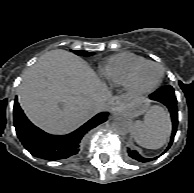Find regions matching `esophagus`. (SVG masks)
Masks as SVG:
<instances>
[{"label": "esophagus", "mask_w": 194, "mask_h": 193, "mask_svg": "<svg viewBox=\"0 0 194 193\" xmlns=\"http://www.w3.org/2000/svg\"><path fill=\"white\" fill-rule=\"evenodd\" d=\"M119 103H120L119 98H114L112 103H111V106L116 107L117 105H119Z\"/></svg>", "instance_id": "esophagus-1"}]
</instances>
